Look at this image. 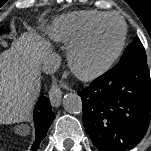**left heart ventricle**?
<instances>
[{
  "mask_svg": "<svg viewBox=\"0 0 151 151\" xmlns=\"http://www.w3.org/2000/svg\"><path fill=\"white\" fill-rule=\"evenodd\" d=\"M121 32L122 25L117 19L102 22L84 52V62L95 66L108 59L117 47Z\"/></svg>",
  "mask_w": 151,
  "mask_h": 151,
  "instance_id": "left-heart-ventricle-1",
  "label": "left heart ventricle"
}]
</instances>
